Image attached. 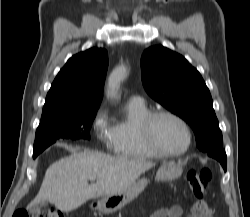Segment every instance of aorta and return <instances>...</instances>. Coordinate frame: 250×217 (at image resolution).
<instances>
[{
    "label": "aorta",
    "mask_w": 250,
    "mask_h": 217,
    "mask_svg": "<svg viewBox=\"0 0 250 217\" xmlns=\"http://www.w3.org/2000/svg\"><path fill=\"white\" fill-rule=\"evenodd\" d=\"M128 69L125 65H120L116 67L108 78L107 91L108 97L115 98L117 94V89L119 88L121 82L127 77Z\"/></svg>",
    "instance_id": "obj_1"
}]
</instances>
